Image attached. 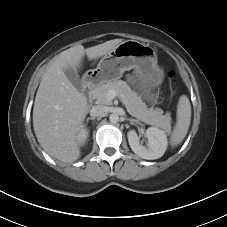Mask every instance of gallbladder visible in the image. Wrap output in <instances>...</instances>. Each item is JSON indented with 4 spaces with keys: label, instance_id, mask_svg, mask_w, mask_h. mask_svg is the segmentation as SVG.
<instances>
[{
    "label": "gallbladder",
    "instance_id": "1",
    "mask_svg": "<svg viewBox=\"0 0 227 227\" xmlns=\"http://www.w3.org/2000/svg\"><path fill=\"white\" fill-rule=\"evenodd\" d=\"M65 74L70 82L77 88V90H82V82L76 70L69 67L65 70Z\"/></svg>",
    "mask_w": 227,
    "mask_h": 227
}]
</instances>
